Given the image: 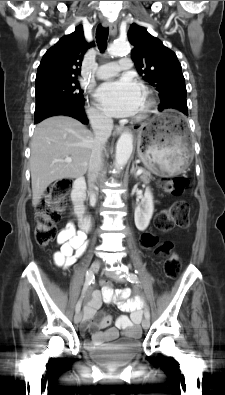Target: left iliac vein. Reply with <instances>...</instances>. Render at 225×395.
I'll return each instance as SVG.
<instances>
[{"mask_svg": "<svg viewBox=\"0 0 225 395\" xmlns=\"http://www.w3.org/2000/svg\"><path fill=\"white\" fill-rule=\"evenodd\" d=\"M110 275V277H112L116 282H124V278H122V277H120V276H118V275H116V274H109ZM149 326H150V321H149V319L148 318H144L143 319V321H142V327H143V329H148L149 328Z\"/></svg>", "mask_w": 225, "mask_h": 395, "instance_id": "4c4485c4", "label": "left iliac vein"}]
</instances>
